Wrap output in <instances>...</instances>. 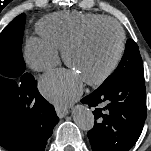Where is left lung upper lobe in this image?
<instances>
[{
	"label": "left lung upper lobe",
	"mask_w": 151,
	"mask_h": 151,
	"mask_svg": "<svg viewBox=\"0 0 151 151\" xmlns=\"http://www.w3.org/2000/svg\"><path fill=\"white\" fill-rule=\"evenodd\" d=\"M134 71H144L143 63L138 45L132 39H129L120 64L98 89L108 88Z\"/></svg>",
	"instance_id": "obj_1"
}]
</instances>
